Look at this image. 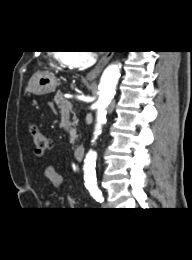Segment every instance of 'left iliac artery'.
I'll return each mask as SVG.
<instances>
[{"instance_id": "obj_1", "label": "left iliac artery", "mask_w": 192, "mask_h": 260, "mask_svg": "<svg viewBox=\"0 0 192 260\" xmlns=\"http://www.w3.org/2000/svg\"><path fill=\"white\" fill-rule=\"evenodd\" d=\"M91 196L98 202H103L104 198L97 185L88 187Z\"/></svg>"}]
</instances>
